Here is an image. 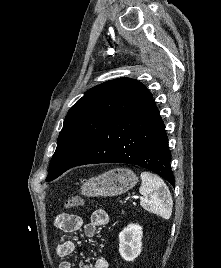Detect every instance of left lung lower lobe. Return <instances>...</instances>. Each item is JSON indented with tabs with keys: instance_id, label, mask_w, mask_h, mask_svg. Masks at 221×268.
<instances>
[{
	"instance_id": "obj_1",
	"label": "left lung lower lobe",
	"mask_w": 221,
	"mask_h": 268,
	"mask_svg": "<svg viewBox=\"0 0 221 268\" xmlns=\"http://www.w3.org/2000/svg\"><path fill=\"white\" fill-rule=\"evenodd\" d=\"M170 158L165 126L150 99L112 122L71 167L107 162L135 164L174 186Z\"/></svg>"
}]
</instances>
